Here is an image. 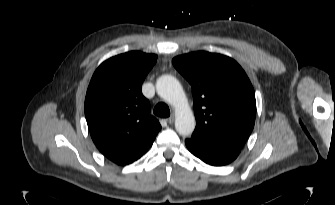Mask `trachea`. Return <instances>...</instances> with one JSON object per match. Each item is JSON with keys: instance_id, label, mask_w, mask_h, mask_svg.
<instances>
[{"instance_id": "obj_1", "label": "trachea", "mask_w": 335, "mask_h": 205, "mask_svg": "<svg viewBox=\"0 0 335 205\" xmlns=\"http://www.w3.org/2000/svg\"><path fill=\"white\" fill-rule=\"evenodd\" d=\"M154 114L159 116V117H163V118H166V117H169L170 116V110H169V107L167 104L161 102V103H158L155 108H154Z\"/></svg>"}]
</instances>
